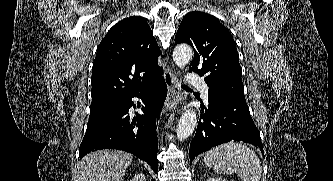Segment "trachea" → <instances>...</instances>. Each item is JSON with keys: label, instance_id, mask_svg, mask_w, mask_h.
I'll return each mask as SVG.
<instances>
[{"label": "trachea", "instance_id": "1", "mask_svg": "<svg viewBox=\"0 0 333 181\" xmlns=\"http://www.w3.org/2000/svg\"><path fill=\"white\" fill-rule=\"evenodd\" d=\"M182 88H183V89H189V87L186 86V85H182Z\"/></svg>", "mask_w": 333, "mask_h": 181}]
</instances>
